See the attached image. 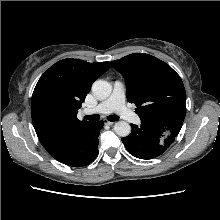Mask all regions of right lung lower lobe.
Returning a JSON list of instances; mask_svg holds the SVG:
<instances>
[{"label":"right lung lower lobe","mask_w":220,"mask_h":220,"mask_svg":"<svg viewBox=\"0 0 220 220\" xmlns=\"http://www.w3.org/2000/svg\"><path fill=\"white\" fill-rule=\"evenodd\" d=\"M102 126V121L90 124L53 158L73 167H82L91 163L98 155V135Z\"/></svg>","instance_id":"1"}]
</instances>
